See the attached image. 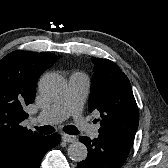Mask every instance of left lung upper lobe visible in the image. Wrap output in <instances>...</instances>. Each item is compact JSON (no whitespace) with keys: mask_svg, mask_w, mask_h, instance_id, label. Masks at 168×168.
<instances>
[{"mask_svg":"<svg viewBox=\"0 0 168 168\" xmlns=\"http://www.w3.org/2000/svg\"><path fill=\"white\" fill-rule=\"evenodd\" d=\"M94 74L88 109L101 113V134L132 145L139 123V111L127 76L112 61L92 58Z\"/></svg>","mask_w":168,"mask_h":168,"instance_id":"left-lung-upper-lobe-1","label":"left lung upper lobe"}]
</instances>
